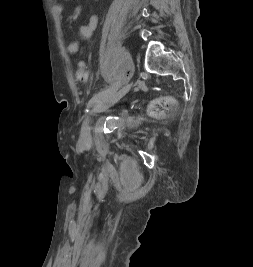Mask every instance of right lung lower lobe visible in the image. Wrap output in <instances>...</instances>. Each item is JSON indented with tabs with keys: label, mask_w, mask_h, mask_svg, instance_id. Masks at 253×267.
<instances>
[{
	"label": "right lung lower lobe",
	"mask_w": 253,
	"mask_h": 267,
	"mask_svg": "<svg viewBox=\"0 0 253 267\" xmlns=\"http://www.w3.org/2000/svg\"><path fill=\"white\" fill-rule=\"evenodd\" d=\"M158 214V211L157 210H152L151 211V215L154 216V215H157Z\"/></svg>",
	"instance_id": "98d812e1"
}]
</instances>
